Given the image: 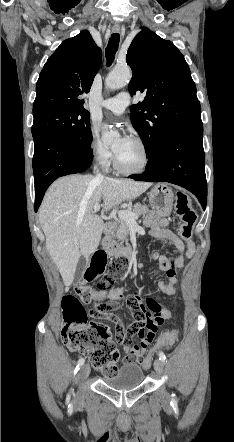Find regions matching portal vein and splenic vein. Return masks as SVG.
<instances>
[{
    "instance_id": "18ae733b",
    "label": "portal vein and splenic vein",
    "mask_w": 234,
    "mask_h": 442,
    "mask_svg": "<svg viewBox=\"0 0 234 442\" xmlns=\"http://www.w3.org/2000/svg\"><path fill=\"white\" fill-rule=\"evenodd\" d=\"M93 210H94V212H98L100 210V204H98V203L95 204L93 206ZM118 217L121 220H124L127 223H129V224L135 223V220L138 218V216L136 214H134V213H132V212H130L128 210H120V211H118Z\"/></svg>"
}]
</instances>
